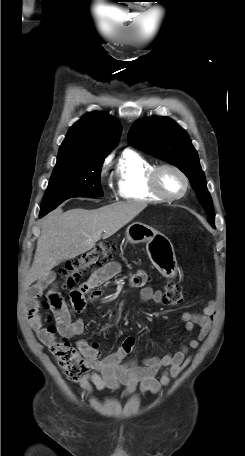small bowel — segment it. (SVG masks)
I'll list each match as a JSON object with an SVG mask.
<instances>
[{"instance_id": "1", "label": "small bowel", "mask_w": 245, "mask_h": 456, "mask_svg": "<svg viewBox=\"0 0 245 456\" xmlns=\"http://www.w3.org/2000/svg\"><path fill=\"white\" fill-rule=\"evenodd\" d=\"M120 270L121 266L116 261H111L103 267L94 269L88 279L71 292L70 298L74 308L77 311H82L85 305V296L88 294H90L91 300L99 299L102 293L94 289L119 274ZM51 281V277H45L30 288L25 310L28 323L37 333L40 341L46 345L51 343L54 334L43 327L38 310V299ZM146 283L147 273L144 270L137 271L130 278L131 286L141 288V301L161 303L164 296L162 291L154 290ZM49 298L56 316L59 334L67 338L83 334V320L71 321L67 305L60 295L56 291H52ZM215 315L216 303L214 301H210L203 308L202 313L184 312L181 315V320L185 324L186 330L193 332L198 327V338L190 339L187 344L181 345L172 354L146 358L141 364L136 359L125 362V358L135 349L136 338L134 336L125 338L115 352L103 358H101V351L97 343H89L84 339H79L76 343L77 348L92 369L79 381L82 391L86 395H91L94 390L101 392L105 389L118 390L123 387L127 395L134 393L137 388L142 394L147 392L159 393L163 387L170 383L171 378L177 377L190 363L189 349L198 348L200 342L207 337ZM160 371H162L161 375L157 378Z\"/></svg>"}]
</instances>
